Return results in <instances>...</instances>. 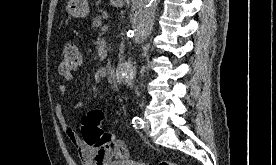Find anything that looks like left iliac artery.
Here are the masks:
<instances>
[{"mask_svg":"<svg viewBox=\"0 0 276 165\" xmlns=\"http://www.w3.org/2000/svg\"><path fill=\"white\" fill-rule=\"evenodd\" d=\"M133 126L137 129H141L144 127V122L140 117H134L132 120Z\"/></svg>","mask_w":276,"mask_h":165,"instance_id":"left-iliac-artery-1","label":"left iliac artery"}]
</instances>
